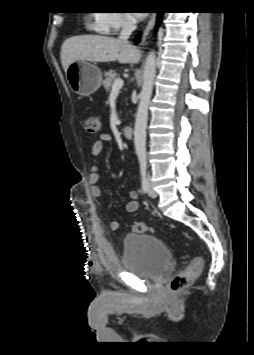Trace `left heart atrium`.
Masks as SVG:
<instances>
[{
  "mask_svg": "<svg viewBox=\"0 0 254 355\" xmlns=\"http://www.w3.org/2000/svg\"><path fill=\"white\" fill-rule=\"evenodd\" d=\"M134 15L137 19H141L145 16V14L141 12H134Z\"/></svg>",
  "mask_w": 254,
  "mask_h": 355,
  "instance_id": "1",
  "label": "left heart atrium"
}]
</instances>
